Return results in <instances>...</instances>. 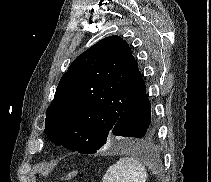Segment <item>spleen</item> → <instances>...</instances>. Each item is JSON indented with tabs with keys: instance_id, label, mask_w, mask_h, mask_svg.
Instances as JSON below:
<instances>
[{
	"instance_id": "obj_1",
	"label": "spleen",
	"mask_w": 211,
	"mask_h": 182,
	"mask_svg": "<svg viewBox=\"0 0 211 182\" xmlns=\"http://www.w3.org/2000/svg\"><path fill=\"white\" fill-rule=\"evenodd\" d=\"M145 166L133 157H124L110 166L103 182H146Z\"/></svg>"
}]
</instances>
